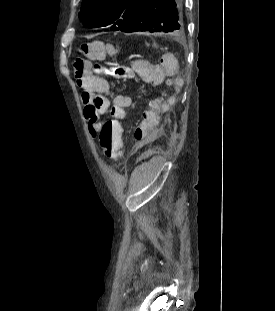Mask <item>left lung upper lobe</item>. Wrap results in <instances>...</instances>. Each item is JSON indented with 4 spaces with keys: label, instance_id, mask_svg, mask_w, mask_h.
<instances>
[{
    "label": "left lung upper lobe",
    "instance_id": "5c2ea615",
    "mask_svg": "<svg viewBox=\"0 0 275 311\" xmlns=\"http://www.w3.org/2000/svg\"><path fill=\"white\" fill-rule=\"evenodd\" d=\"M143 0H83L79 18L84 26H111L118 30L131 17Z\"/></svg>",
    "mask_w": 275,
    "mask_h": 311
}]
</instances>
